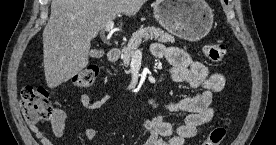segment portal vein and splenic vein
I'll use <instances>...</instances> for the list:
<instances>
[{"label": "portal vein and splenic vein", "mask_w": 276, "mask_h": 145, "mask_svg": "<svg viewBox=\"0 0 276 145\" xmlns=\"http://www.w3.org/2000/svg\"><path fill=\"white\" fill-rule=\"evenodd\" d=\"M114 28V22L111 20V21H108L106 26H105V30L106 32H110L112 31Z\"/></svg>", "instance_id": "18ae733b"}]
</instances>
